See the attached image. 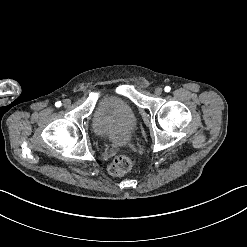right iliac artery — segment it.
<instances>
[{
  "mask_svg": "<svg viewBox=\"0 0 247 247\" xmlns=\"http://www.w3.org/2000/svg\"><path fill=\"white\" fill-rule=\"evenodd\" d=\"M61 105H62V104H61L60 101H58V102L55 103V106H56V107H60Z\"/></svg>",
  "mask_w": 247,
  "mask_h": 247,
  "instance_id": "1",
  "label": "right iliac artery"
}]
</instances>
